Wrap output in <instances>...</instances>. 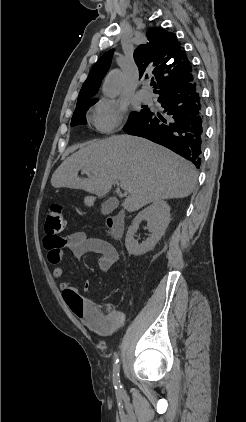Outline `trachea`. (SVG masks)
<instances>
[{
    "label": "trachea",
    "instance_id": "obj_1",
    "mask_svg": "<svg viewBox=\"0 0 246 422\" xmlns=\"http://www.w3.org/2000/svg\"><path fill=\"white\" fill-rule=\"evenodd\" d=\"M154 84H155V82H151V83H150V85H151V86H152V85H154Z\"/></svg>",
    "mask_w": 246,
    "mask_h": 422
}]
</instances>
